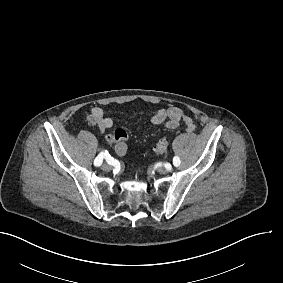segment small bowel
Masks as SVG:
<instances>
[{"label":"small bowel","instance_id":"small-bowel-1","mask_svg":"<svg viewBox=\"0 0 283 283\" xmlns=\"http://www.w3.org/2000/svg\"><path fill=\"white\" fill-rule=\"evenodd\" d=\"M87 121L90 124L97 126L102 132L111 129L114 126L113 119L106 116L103 109L98 106H94L90 109ZM151 123L154 125H163L167 129H176L183 125L188 132H193L195 130L192 118L182 109L177 107L156 111L151 117ZM126 139L127 134L122 128H117L112 133L106 135L107 142L116 144L115 151L119 156H123L126 153Z\"/></svg>","mask_w":283,"mask_h":283}]
</instances>
